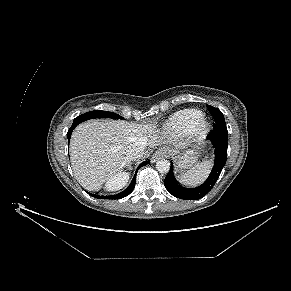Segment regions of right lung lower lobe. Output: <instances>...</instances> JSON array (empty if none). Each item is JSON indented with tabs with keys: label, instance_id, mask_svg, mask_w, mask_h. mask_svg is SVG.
<instances>
[{
	"label": "right lung lower lobe",
	"instance_id": "98d812e1",
	"mask_svg": "<svg viewBox=\"0 0 291 291\" xmlns=\"http://www.w3.org/2000/svg\"><path fill=\"white\" fill-rule=\"evenodd\" d=\"M78 124L77 123H74L72 124L71 128L68 130V133H67V137H68V142L70 140V136L74 130V128L77 126ZM149 163V161H144L143 163H141L136 172H135V175L130 183V185L122 192L116 194V195H110V196H99V195H96V194H91L93 197H96V198H99V199H121L123 197H126L128 196L134 189L135 187V183H136V174H137V171L139 168H141L142 166L144 165H147Z\"/></svg>",
	"mask_w": 291,
	"mask_h": 291
}]
</instances>
